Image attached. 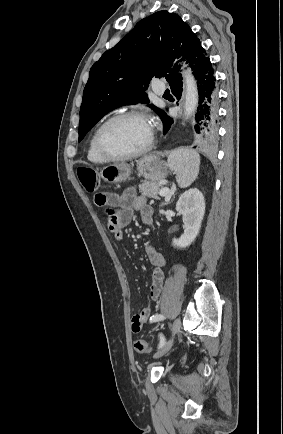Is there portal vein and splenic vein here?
<instances>
[{"label": "portal vein and splenic vein", "mask_w": 283, "mask_h": 434, "mask_svg": "<svg viewBox=\"0 0 283 434\" xmlns=\"http://www.w3.org/2000/svg\"><path fill=\"white\" fill-rule=\"evenodd\" d=\"M170 193V190H169V188H163V189H161L160 191H159V195L160 196H164V197H166L167 198V196H168V194Z\"/></svg>", "instance_id": "1"}]
</instances>
